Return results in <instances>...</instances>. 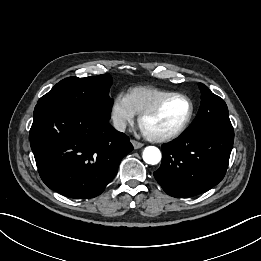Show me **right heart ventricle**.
I'll list each match as a JSON object with an SVG mask.
<instances>
[{
  "instance_id": "right-heart-ventricle-1",
  "label": "right heart ventricle",
  "mask_w": 261,
  "mask_h": 261,
  "mask_svg": "<svg viewBox=\"0 0 261 261\" xmlns=\"http://www.w3.org/2000/svg\"><path fill=\"white\" fill-rule=\"evenodd\" d=\"M170 92L149 86H138L127 93L129 104L135 114H140Z\"/></svg>"
}]
</instances>
